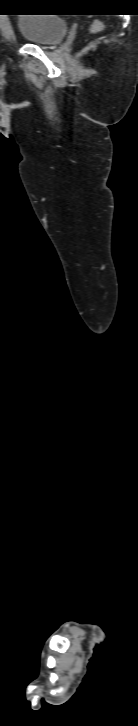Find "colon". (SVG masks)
Masks as SVG:
<instances>
[{"instance_id": "1", "label": "colon", "mask_w": 138, "mask_h": 726, "mask_svg": "<svg viewBox=\"0 0 138 726\" xmlns=\"http://www.w3.org/2000/svg\"><path fill=\"white\" fill-rule=\"evenodd\" d=\"M102 28H103V23H102L101 21H99V20H95V21H94V22H93V23H92V24L90 25V28H89V30H90V32H91V33H97V32H99V31H101V30H102Z\"/></svg>"}]
</instances>
